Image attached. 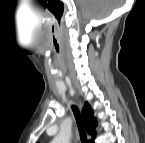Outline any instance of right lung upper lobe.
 <instances>
[{
  "mask_svg": "<svg viewBox=\"0 0 145 143\" xmlns=\"http://www.w3.org/2000/svg\"><path fill=\"white\" fill-rule=\"evenodd\" d=\"M82 120L87 133L92 136L91 142H94L97 122L93 118V111L88 103H85V107L82 111Z\"/></svg>",
  "mask_w": 145,
  "mask_h": 143,
  "instance_id": "obj_1",
  "label": "right lung upper lobe"
}]
</instances>
